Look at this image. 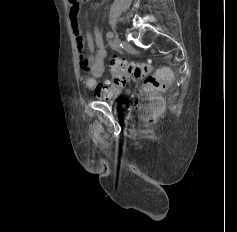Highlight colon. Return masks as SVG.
<instances>
[{"label":"colon","instance_id":"obj_1","mask_svg":"<svg viewBox=\"0 0 237 232\" xmlns=\"http://www.w3.org/2000/svg\"><path fill=\"white\" fill-rule=\"evenodd\" d=\"M82 1L76 0L75 2ZM109 71L112 80L104 84L107 88L122 89L129 76L143 79L140 91V99L137 112L140 120L152 123L162 112L163 102L160 94L167 88L172 79V72L168 68H162L152 72V66L147 62L128 61L119 56H113L109 62ZM89 78H86V83Z\"/></svg>","mask_w":237,"mask_h":232}]
</instances>
